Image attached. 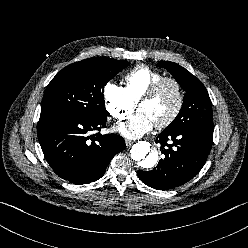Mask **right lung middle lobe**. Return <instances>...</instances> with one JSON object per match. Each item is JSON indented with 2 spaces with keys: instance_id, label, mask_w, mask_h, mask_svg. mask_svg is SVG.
Masks as SVG:
<instances>
[{
  "instance_id": "1",
  "label": "right lung middle lobe",
  "mask_w": 248,
  "mask_h": 248,
  "mask_svg": "<svg viewBox=\"0 0 248 248\" xmlns=\"http://www.w3.org/2000/svg\"><path fill=\"white\" fill-rule=\"evenodd\" d=\"M128 65L127 61L94 57L66 66L47 86L41 114L107 119L104 86Z\"/></svg>"
}]
</instances>
